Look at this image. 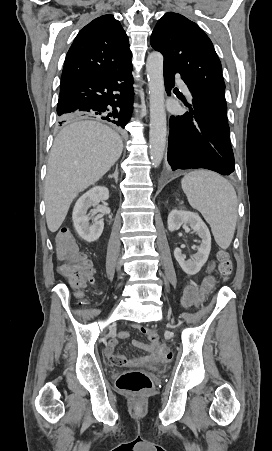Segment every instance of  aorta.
I'll return each instance as SVG.
<instances>
[{"label":"aorta","instance_id":"762f6f07","mask_svg":"<svg viewBox=\"0 0 272 451\" xmlns=\"http://www.w3.org/2000/svg\"><path fill=\"white\" fill-rule=\"evenodd\" d=\"M163 60L160 52H151L146 62L150 102L149 154L154 166L161 164L167 140Z\"/></svg>","mask_w":272,"mask_h":451}]
</instances>
